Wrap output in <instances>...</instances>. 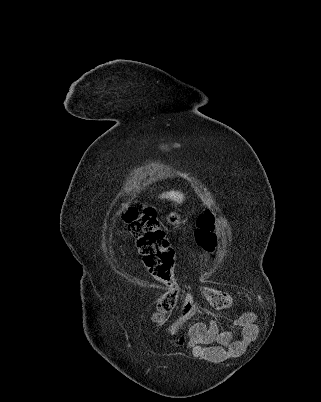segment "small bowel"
Masks as SVG:
<instances>
[{
	"label": "small bowel",
	"mask_w": 321,
	"mask_h": 402,
	"mask_svg": "<svg viewBox=\"0 0 321 402\" xmlns=\"http://www.w3.org/2000/svg\"><path fill=\"white\" fill-rule=\"evenodd\" d=\"M200 310L198 305L185 307L176 320L169 326V333H177L187 329V336L178 342H186L192 349L193 356L218 361L233 356H242L245 348L256 338V328L259 323L252 320L251 315H240L239 320H233V329H244L242 338L233 340L229 334L222 333L215 322H192V318Z\"/></svg>",
	"instance_id": "small-bowel-1"
}]
</instances>
